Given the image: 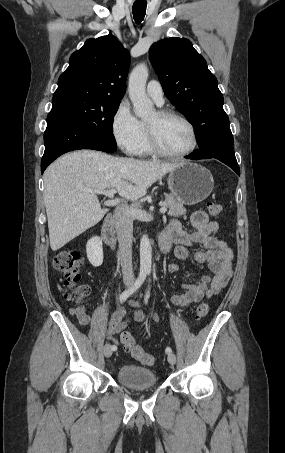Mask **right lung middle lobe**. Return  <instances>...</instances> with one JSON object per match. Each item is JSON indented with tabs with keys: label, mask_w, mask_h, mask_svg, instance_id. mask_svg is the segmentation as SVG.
<instances>
[{
	"label": "right lung middle lobe",
	"mask_w": 285,
	"mask_h": 453,
	"mask_svg": "<svg viewBox=\"0 0 285 453\" xmlns=\"http://www.w3.org/2000/svg\"><path fill=\"white\" fill-rule=\"evenodd\" d=\"M120 101L107 97L70 96L52 100V110L65 113L93 136L116 146L112 124Z\"/></svg>",
	"instance_id": "dd1d6c3e"
}]
</instances>
